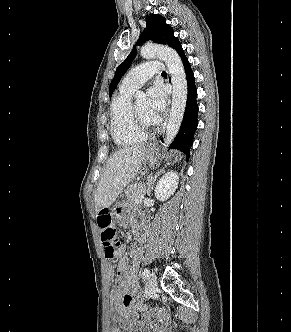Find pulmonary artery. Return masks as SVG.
I'll use <instances>...</instances> for the list:
<instances>
[{
  "instance_id": "pulmonary-artery-1",
  "label": "pulmonary artery",
  "mask_w": 291,
  "mask_h": 332,
  "mask_svg": "<svg viewBox=\"0 0 291 332\" xmlns=\"http://www.w3.org/2000/svg\"><path fill=\"white\" fill-rule=\"evenodd\" d=\"M165 69L162 62L149 61L133 68L123 78L121 88L135 91L147 82L154 74H161Z\"/></svg>"
}]
</instances>
